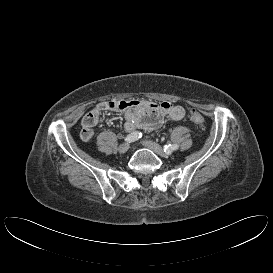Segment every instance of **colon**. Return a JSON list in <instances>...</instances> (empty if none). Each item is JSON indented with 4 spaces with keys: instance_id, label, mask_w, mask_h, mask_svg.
Instances as JSON below:
<instances>
[{
    "instance_id": "colon-1",
    "label": "colon",
    "mask_w": 273,
    "mask_h": 273,
    "mask_svg": "<svg viewBox=\"0 0 273 273\" xmlns=\"http://www.w3.org/2000/svg\"><path fill=\"white\" fill-rule=\"evenodd\" d=\"M189 118L197 127L204 128L205 119L199 112H197L195 110H190L189 111Z\"/></svg>"
}]
</instances>
